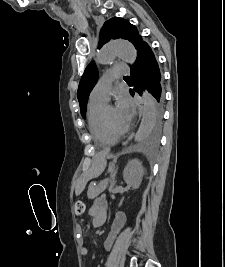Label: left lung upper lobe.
I'll return each mask as SVG.
<instances>
[{
    "mask_svg": "<svg viewBox=\"0 0 225 267\" xmlns=\"http://www.w3.org/2000/svg\"><path fill=\"white\" fill-rule=\"evenodd\" d=\"M110 39H126L130 41L137 49L141 37L139 36L137 28L134 25L130 24L129 21L123 18L113 17L104 23L100 32V41L98 47L101 48ZM96 81L97 69L95 63L92 61L86 67L78 87L77 97L83 118L85 117L89 94L93 89ZM162 115L163 108L155 104L153 118V131L155 133H157L160 129Z\"/></svg>",
    "mask_w": 225,
    "mask_h": 267,
    "instance_id": "1",
    "label": "left lung upper lobe"
}]
</instances>
